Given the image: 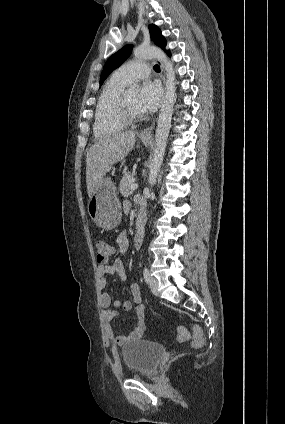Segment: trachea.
I'll return each mask as SVG.
<instances>
[{"label": "trachea", "mask_w": 285, "mask_h": 424, "mask_svg": "<svg viewBox=\"0 0 285 424\" xmlns=\"http://www.w3.org/2000/svg\"><path fill=\"white\" fill-rule=\"evenodd\" d=\"M154 70L156 72H160V66L159 65H154Z\"/></svg>", "instance_id": "trachea-1"}]
</instances>
